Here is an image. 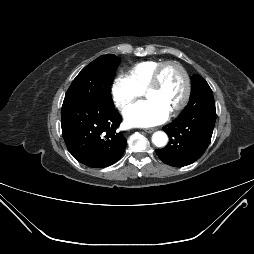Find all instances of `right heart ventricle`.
I'll return each mask as SVG.
<instances>
[{"instance_id": "1", "label": "right heart ventricle", "mask_w": 254, "mask_h": 254, "mask_svg": "<svg viewBox=\"0 0 254 254\" xmlns=\"http://www.w3.org/2000/svg\"><path fill=\"white\" fill-rule=\"evenodd\" d=\"M162 63L159 60H146L134 64L128 71V77L141 90L148 87L156 68Z\"/></svg>"}]
</instances>
